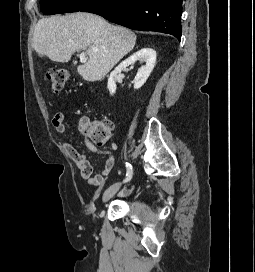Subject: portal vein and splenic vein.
Here are the masks:
<instances>
[{"label": "portal vein and splenic vein", "instance_id": "18ae733b", "mask_svg": "<svg viewBox=\"0 0 255 272\" xmlns=\"http://www.w3.org/2000/svg\"><path fill=\"white\" fill-rule=\"evenodd\" d=\"M80 61H81L82 63H85V62L87 61L86 53L82 52V53L80 54Z\"/></svg>", "mask_w": 255, "mask_h": 272}]
</instances>
